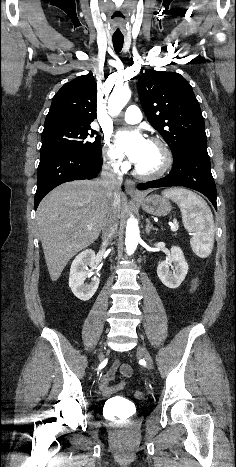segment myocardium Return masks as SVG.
<instances>
[{"label": "myocardium", "mask_w": 236, "mask_h": 467, "mask_svg": "<svg viewBox=\"0 0 236 467\" xmlns=\"http://www.w3.org/2000/svg\"><path fill=\"white\" fill-rule=\"evenodd\" d=\"M148 142L158 146L162 152V163L160 167L151 172L141 170L137 165L134 167V174L140 179L154 180L164 176L172 167L174 159L169 145L159 137H151Z\"/></svg>", "instance_id": "obj_1"}]
</instances>
